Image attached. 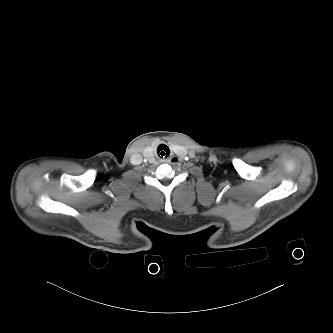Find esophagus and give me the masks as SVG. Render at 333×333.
<instances>
[{
  "label": "esophagus",
  "instance_id": "1",
  "mask_svg": "<svg viewBox=\"0 0 333 333\" xmlns=\"http://www.w3.org/2000/svg\"><path fill=\"white\" fill-rule=\"evenodd\" d=\"M179 161H180V158L179 157H177V156H172L170 159H169V162H171V163H179Z\"/></svg>",
  "mask_w": 333,
  "mask_h": 333
}]
</instances>
